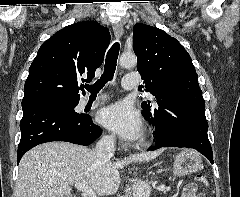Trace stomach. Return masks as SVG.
Wrapping results in <instances>:
<instances>
[{"label": "stomach", "instance_id": "1", "mask_svg": "<svg viewBox=\"0 0 240 197\" xmlns=\"http://www.w3.org/2000/svg\"><path fill=\"white\" fill-rule=\"evenodd\" d=\"M202 167V161L194 150H184L174 160L173 173L175 176H184L196 172Z\"/></svg>", "mask_w": 240, "mask_h": 197}]
</instances>
